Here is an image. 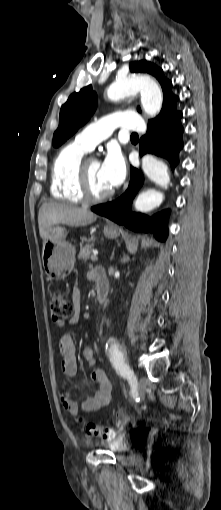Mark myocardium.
I'll return each instance as SVG.
<instances>
[{
	"label": "myocardium",
	"mask_w": 221,
	"mask_h": 510,
	"mask_svg": "<svg viewBox=\"0 0 221 510\" xmlns=\"http://www.w3.org/2000/svg\"><path fill=\"white\" fill-rule=\"evenodd\" d=\"M90 159H84L81 161L78 167L77 173V187L79 195L82 201L87 203H102L110 199L114 195V191L111 190L102 195H94L90 190L89 176L87 170V164Z\"/></svg>",
	"instance_id": "f54148a6"
}]
</instances>
